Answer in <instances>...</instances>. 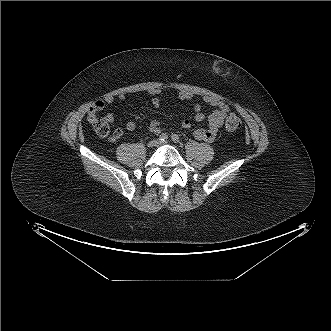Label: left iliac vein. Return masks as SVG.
Returning <instances> with one entry per match:
<instances>
[{"label": "left iliac vein", "instance_id": "4c4485c4", "mask_svg": "<svg viewBox=\"0 0 331 331\" xmlns=\"http://www.w3.org/2000/svg\"><path fill=\"white\" fill-rule=\"evenodd\" d=\"M165 144H168V141H165V142H159V145H165Z\"/></svg>", "mask_w": 331, "mask_h": 331}]
</instances>
